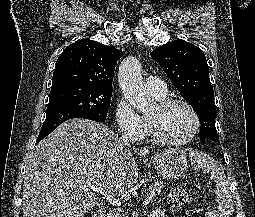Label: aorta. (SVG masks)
<instances>
[{"mask_svg": "<svg viewBox=\"0 0 255 217\" xmlns=\"http://www.w3.org/2000/svg\"><path fill=\"white\" fill-rule=\"evenodd\" d=\"M118 81L124 97L139 113H145L154 107V101L144 89L141 64L137 58L130 56L121 62Z\"/></svg>", "mask_w": 255, "mask_h": 217, "instance_id": "obj_1", "label": "aorta"}]
</instances>
